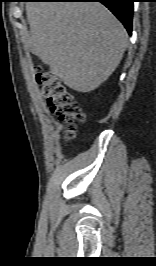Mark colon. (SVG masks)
Masks as SVG:
<instances>
[{"instance_id": "obj_1", "label": "colon", "mask_w": 156, "mask_h": 266, "mask_svg": "<svg viewBox=\"0 0 156 266\" xmlns=\"http://www.w3.org/2000/svg\"><path fill=\"white\" fill-rule=\"evenodd\" d=\"M36 80L42 86L50 111L66 126L65 139H73L77 123L85 120L84 112L53 72L38 68Z\"/></svg>"}]
</instances>
